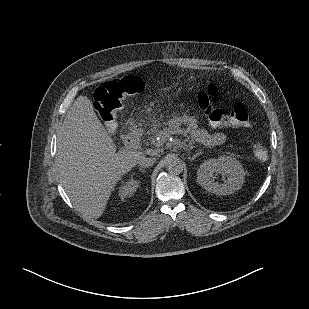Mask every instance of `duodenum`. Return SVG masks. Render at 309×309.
<instances>
[{"mask_svg": "<svg viewBox=\"0 0 309 309\" xmlns=\"http://www.w3.org/2000/svg\"><path fill=\"white\" fill-rule=\"evenodd\" d=\"M143 135H144V130L141 127L136 126V125L130 127V129L126 133V138H125L126 145L128 147L135 146L140 141Z\"/></svg>", "mask_w": 309, "mask_h": 309, "instance_id": "duodenum-1", "label": "duodenum"}]
</instances>
